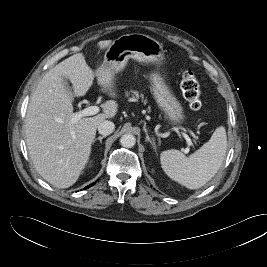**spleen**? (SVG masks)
Wrapping results in <instances>:
<instances>
[{
    "label": "spleen",
    "mask_w": 267,
    "mask_h": 267,
    "mask_svg": "<svg viewBox=\"0 0 267 267\" xmlns=\"http://www.w3.org/2000/svg\"><path fill=\"white\" fill-rule=\"evenodd\" d=\"M227 149L226 131L216 128L210 140L186 157L178 150L160 154L161 167L172 180L188 189H198L210 181L222 165Z\"/></svg>",
    "instance_id": "spleen-1"
}]
</instances>
